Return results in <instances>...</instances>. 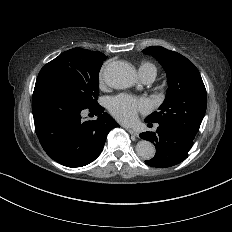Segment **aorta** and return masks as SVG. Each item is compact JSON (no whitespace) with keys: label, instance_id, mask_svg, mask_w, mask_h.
<instances>
[{"label":"aorta","instance_id":"obj_1","mask_svg":"<svg viewBox=\"0 0 232 232\" xmlns=\"http://www.w3.org/2000/svg\"><path fill=\"white\" fill-rule=\"evenodd\" d=\"M103 76L106 84L114 89H125L136 82L133 68L122 61H114L108 64ZM136 152L142 159L150 160L154 157L155 147L150 141L141 140L136 145Z\"/></svg>","mask_w":232,"mask_h":232}]
</instances>
